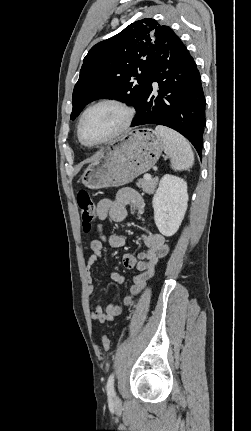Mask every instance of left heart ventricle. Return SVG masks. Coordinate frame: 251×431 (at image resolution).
I'll list each match as a JSON object with an SVG mask.
<instances>
[{"label":"left heart ventricle","mask_w":251,"mask_h":431,"mask_svg":"<svg viewBox=\"0 0 251 431\" xmlns=\"http://www.w3.org/2000/svg\"><path fill=\"white\" fill-rule=\"evenodd\" d=\"M123 111L112 105H103L91 110L82 124L83 138L96 143L112 134L122 123Z\"/></svg>","instance_id":"1"}]
</instances>
